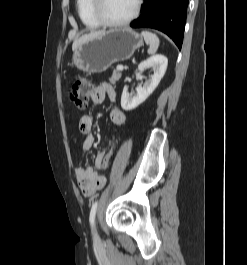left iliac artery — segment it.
<instances>
[{"label": "left iliac artery", "instance_id": "1", "mask_svg": "<svg viewBox=\"0 0 247 265\" xmlns=\"http://www.w3.org/2000/svg\"><path fill=\"white\" fill-rule=\"evenodd\" d=\"M97 205H98V202L95 201L91 207V211H90V217H89V221H90V224L93 226L94 224V219H95V214H96V210H97Z\"/></svg>", "mask_w": 247, "mask_h": 265}]
</instances>
